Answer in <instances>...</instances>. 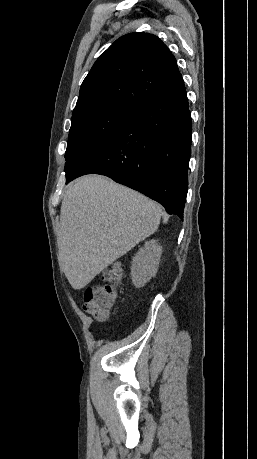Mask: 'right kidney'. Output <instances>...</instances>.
I'll return each mask as SVG.
<instances>
[{
  "label": "right kidney",
  "mask_w": 257,
  "mask_h": 459,
  "mask_svg": "<svg viewBox=\"0 0 257 459\" xmlns=\"http://www.w3.org/2000/svg\"><path fill=\"white\" fill-rule=\"evenodd\" d=\"M162 247L156 240L145 242L132 259L131 279L136 288L143 287L158 271Z\"/></svg>",
  "instance_id": "1"
}]
</instances>
